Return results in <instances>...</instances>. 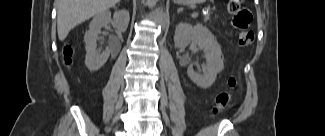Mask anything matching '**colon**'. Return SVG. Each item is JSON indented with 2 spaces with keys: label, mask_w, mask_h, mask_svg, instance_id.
<instances>
[{
  "label": "colon",
  "mask_w": 325,
  "mask_h": 136,
  "mask_svg": "<svg viewBox=\"0 0 325 136\" xmlns=\"http://www.w3.org/2000/svg\"><path fill=\"white\" fill-rule=\"evenodd\" d=\"M243 0H229L228 1V11L232 15L231 24L236 29V35L238 39V43L241 47H249L253 44L254 41V33L249 28V25L252 20L251 13L241 6ZM71 48L65 49V63H71ZM229 86L232 89H235L239 86L238 80L235 78H231L229 80ZM232 105V93L224 92L217 96L216 105L213 109L214 115H219L223 111L230 108Z\"/></svg>",
  "instance_id": "1"
}]
</instances>
